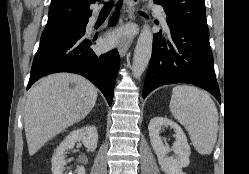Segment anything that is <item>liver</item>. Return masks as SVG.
Returning <instances> with one entry per match:
<instances>
[{"instance_id":"6515ba94","label":"liver","mask_w":249,"mask_h":174,"mask_svg":"<svg viewBox=\"0 0 249 174\" xmlns=\"http://www.w3.org/2000/svg\"><path fill=\"white\" fill-rule=\"evenodd\" d=\"M97 88L72 73H56L31 88L24 109L29 155L57 134L84 119L93 109Z\"/></svg>"}]
</instances>
